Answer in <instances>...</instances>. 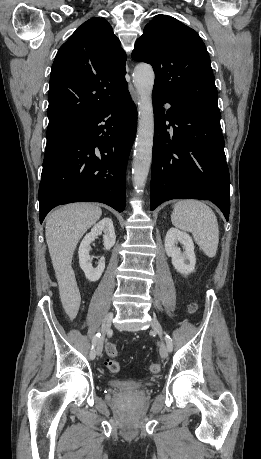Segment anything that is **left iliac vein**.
Instances as JSON below:
<instances>
[{
	"label": "left iliac vein",
	"mask_w": 261,
	"mask_h": 459,
	"mask_svg": "<svg viewBox=\"0 0 261 459\" xmlns=\"http://www.w3.org/2000/svg\"><path fill=\"white\" fill-rule=\"evenodd\" d=\"M151 327L154 330L155 333L160 335L162 337L163 335V330L161 324L158 322L157 319L153 318L151 321ZM160 356L163 359H166L168 357V348L164 342L161 343L160 349H159Z\"/></svg>",
	"instance_id": "4c4485c4"
}]
</instances>
